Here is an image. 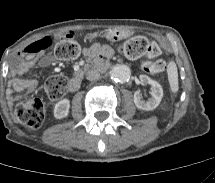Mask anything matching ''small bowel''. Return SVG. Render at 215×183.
Masks as SVG:
<instances>
[{
    "label": "small bowel",
    "instance_id": "small-bowel-1",
    "mask_svg": "<svg viewBox=\"0 0 215 183\" xmlns=\"http://www.w3.org/2000/svg\"><path fill=\"white\" fill-rule=\"evenodd\" d=\"M72 33H68V36ZM61 34L45 36L39 40L30 43L21 53H19L18 60L12 68L13 77L8 82L7 96L10 101L16 99L14 93H25L33 91L37 82L35 80L24 81L20 78L21 75L27 73L31 68L39 65H49L55 61V58L49 54H46V50L40 52H33L32 46L39 41H50L53 44L55 38H59ZM85 54L91 58H94L100 53H108L109 48L107 46H101L99 44H93L84 50Z\"/></svg>",
    "mask_w": 215,
    "mask_h": 183
}]
</instances>
